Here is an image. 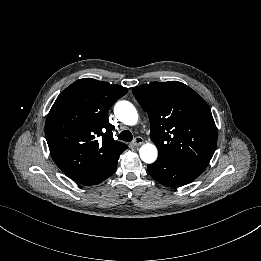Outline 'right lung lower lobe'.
<instances>
[{
  "label": "right lung lower lobe",
  "instance_id": "1",
  "mask_svg": "<svg viewBox=\"0 0 261 261\" xmlns=\"http://www.w3.org/2000/svg\"><path fill=\"white\" fill-rule=\"evenodd\" d=\"M117 161L118 160H116L114 163H112L108 167V169L103 174H101L100 176L93 178L91 180H88L86 182H83L82 184H84V185H95V184L101 183L102 181L107 179L109 176H111L115 172L116 167H117Z\"/></svg>",
  "mask_w": 261,
  "mask_h": 261
}]
</instances>
